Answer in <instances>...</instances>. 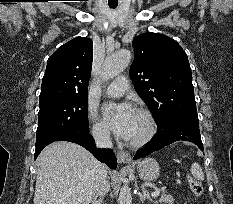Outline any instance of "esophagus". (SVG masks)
Segmentation results:
<instances>
[{
	"label": "esophagus",
	"mask_w": 233,
	"mask_h": 204,
	"mask_svg": "<svg viewBox=\"0 0 233 204\" xmlns=\"http://www.w3.org/2000/svg\"><path fill=\"white\" fill-rule=\"evenodd\" d=\"M116 157L119 163L126 164L131 162V155L127 151L119 150L116 153Z\"/></svg>",
	"instance_id": "34e87169"
}]
</instances>
